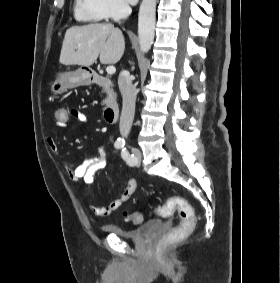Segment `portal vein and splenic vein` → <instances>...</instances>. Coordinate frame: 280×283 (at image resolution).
I'll return each instance as SVG.
<instances>
[{"instance_id":"1","label":"portal vein and splenic vein","mask_w":280,"mask_h":283,"mask_svg":"<svg viewBox=\"0 0 280 283\" xmlns=\"http://www.w3.org/2000/svg\"><path fill=\"white\" fill-rule=\"evenodd\" d=\"M106 72H107V74H109V75H113V74L116 72V69H115L114 66L110 65V66H107Z\"/></svg>"}]
</instances>
